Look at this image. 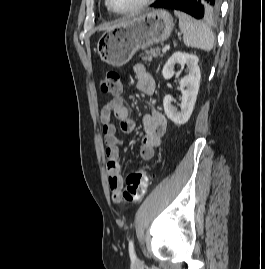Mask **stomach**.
<instances>
[{"instance_id":"0dacf381","label":"stomach","mask_w":265,"mask_h":269,"mask_svg":"<svg viewBox=\"0 0 265 269\" xmlns=\"http://www.w3.org/2000/svg\"><path fill=\"white\" fill-rule=\"evenodd\" d=\"M174 27L172 15L162 9L126 20L106 30L98 40L97 51L107 64L120 67L140 49L165 41Z\"/></svg>"}]
</instances>
